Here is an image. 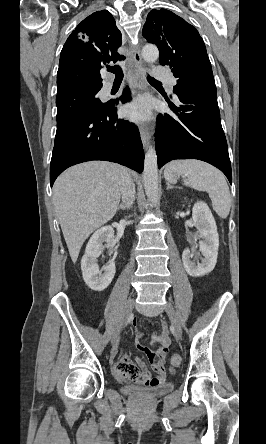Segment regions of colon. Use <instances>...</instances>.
Segmentation results:
<instances>
[{"mask_svg":"<svg viewBox=\"0 0 266 444\" xmlns=\"http://www.w3.org/2000/svg\"><path fill=\"white\" fill-rule=\"evenodd\" d=\"M170 363L173 367H177L180 364V358L178 355L173 354L170 357Z\"/></svg>","mask_w":266,"mask_h":444,"instance_id":"5ec220e1","label":"colon"}]
</instances>
